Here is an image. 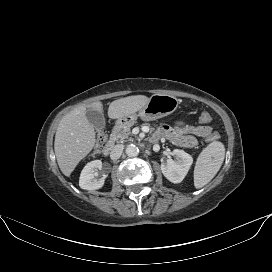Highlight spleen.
Listing matches in <instances>:
<instances>
[{
    "instance_id": "1",
    "label": "spleen",
    "mask_w": 272,
    "mask_h": 272,
    "mask_svg": "<svg viewBox=\"0 0 272 272\" xmlns=\"http://www.w3.org/2000/svg\"><path fill=\"white\" fill-rule=\"evenodd\" d=\"M225 157V147L219 141L210 143L198 156L194 168V185L201 188L219 171Z\"/></svg>"
}]
</instances>
